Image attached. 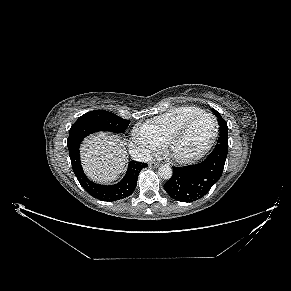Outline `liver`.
Wrapping results in <instances>:
<instances>
[{
    "instance_id": "6515ba94",
    "label": "liver",
    "mask_w": 291,
    "mask_h": 291,
    "mask_svg": "<svg viewBox=\"0 0 291 291\" xmlns=\"http://www.w3.org/2000/svg\"><path fill=\"white\" fill-rule=\"evenodd\" d=\"M81 157L83 168L92 180L108 182L123 171L126 151L119 136L100 133L85 139Z\"/></svg>"
}]
</instances>
